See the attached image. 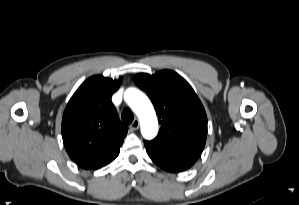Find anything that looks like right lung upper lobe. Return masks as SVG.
Listing matches in <instances>:
<instances>
[{
    "mask_svg": "<svg viewBox=\"0 0 299 205\" xmlns=\"http://www.w3.org/2000/svg\"><path fill=\"white\" fill-rule=\"evenodd\" d=\"M122 82L92 76L67 104L62 137L70 158L83 169H99L119 154L127 127L121 123L111 96Z\"/></svg>",
    "mask_w": 299,
    "mask_h": 205,
    "instance_id": "obj_1",
    "label": "right lung upper lobe"
}]
</instances>
